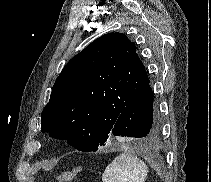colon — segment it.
<instances>
[{
  "label": "colon",
  "mask_w": 211,
  "mask_h": 182,
  "mask_svg": "<svg viewBox=\"0 0 211 182\" xmlns=\"http://www.w3.org/2000/svg\"><path fill=\"white\" fill-rule=\"evenodd\" d=\"M81 171H82V167H80V166L74 167L66 172H63L59 176V180H60V182L70 181V180L74 179Z\"/></svg>",
  "instance_id": "obj_1"
}]
</instances>
